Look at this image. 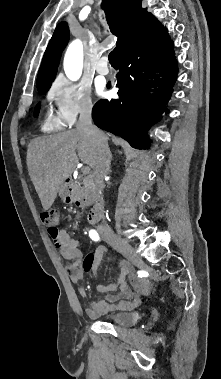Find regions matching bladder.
Segmentation results:
<instances>
[{
    "label": "bladder",
    "instance_id": "31cf9c89",
    "mask_svg": "<svg viewBox=\"0 0 221 379\" xmlns=\"http://www.w3.org/2000/svg\"><path fill=\"white\" fill-rule=\"evenodd\" d=\"M102 319L107 323L127 327L137 323L139 314L136 311H121L108 314Z\"/></svg>",
    "mask_w": 221,
    "mask_h": 379
}]
</instances>
